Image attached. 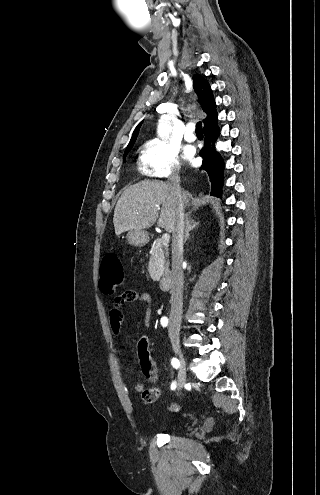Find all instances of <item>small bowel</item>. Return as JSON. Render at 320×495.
<instances>
[{"label":"small bowel","mask_w":320,"mask_h":495,"mask_svg":"<svg viewBox=\"0 0 320 495\" xmlns=\"http://www.w3.org/2000/svg\"><path fill=\"white\" fill-rule=\"evenodd\" d=\"M140 302L146 305L145 311V323L146 325L150 324L151 321V303L152 298L149 293L146 292H137L134 290L125 291L121 296L116 297L113 305L111 306L109 313V324L114 333H119L122 328V323L124 321V310L123 305L126 303H135ZM142 364V363H141ZM143 373L149 377L151 380H154L157 375V371L154 368L153 364L147 368L144 364H142ZM134 389L137 392H142L144 390V385L140 382L135 383Z\"/></svg>","instance_id":"small-bowel-1"}]
</instances>
